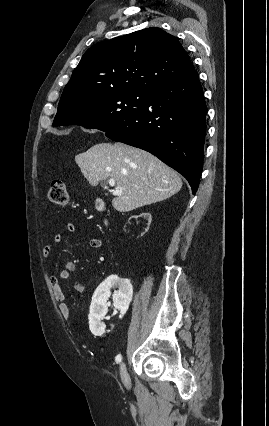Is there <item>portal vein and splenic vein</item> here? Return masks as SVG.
Listing matches in <instances>:
<instances>
[{
    "label": "portal vein and splenic vein",
    "instance_id": "obj_1",
    "mask_svg": "<svg viewBox=\"0 0 269 426\" xmlns=\"http://www.w3.org/2000/svg\"><path fill=\"white\" fill-rule=\"evenodd\" d=\"M108 183L111 187H113L115 185V181L113 179H110L108 181ZM113 194L116 195V196H120V195L123 194V191L121 189H116V190L113 191Z\"/></svg>",
    "mask_w": 269,
    "mask_h": 426
}]
</instances>
